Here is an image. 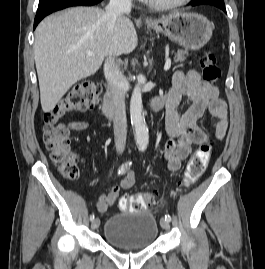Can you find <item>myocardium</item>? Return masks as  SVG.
<instances>
[{
  "instance_id": "myocardium-1",
  "label": "myocardium",
  "mask_w": 265,
  "mask_h": 269,
  "mask_svg": "<svg viewBox=\"0 0 265 269\" xmlns=\"http://www.w3.org/2000/svg\"><path fill=\"white\" fill-rule=\"evenodd\" d=\"M149 6L157 9H172V8H179L191 0H172V1H158V0H143Z\"/></svg>"
}]
</instances>
